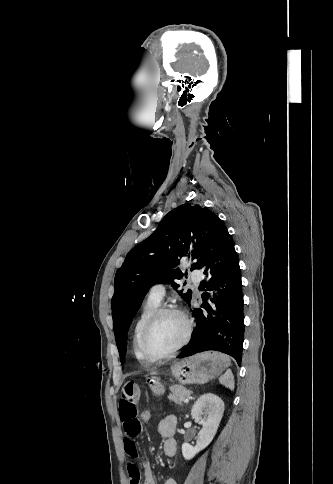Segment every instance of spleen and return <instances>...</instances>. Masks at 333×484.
<instances>
[{
	"label": "spleen",
	"mask_w": 333,
	"mask_h": 484,
	"mask_svg": "<svg viewBox=\"0 0 333 484\" xmlns=\"http://www.w3.org/2000/svg\"><path fill=\"white\" fill-rule=\"evenodd\" d=\"M220 383L224 385L225 387L229 388L230 390H234L235 388V382H234V376L230 370H227L221 377H220Z\"/></svg>",
	"instance_id": "1"
}]
</instances>
